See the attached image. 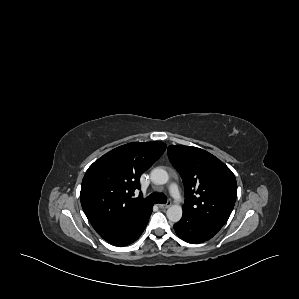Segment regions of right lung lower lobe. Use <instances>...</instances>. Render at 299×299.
Returning <instances> with one entry per match:
<instances>
[{
	"mask_svg": "<svg viewBox=\"0 0 299 299\" xmlns=\"http://www.w3.org/2000/svg\"><path fill=\"white\" fill-rule=\"evenodd\" d=\"M151 211L144 216V218L136 223L120 226L116 228H111L98 234L109 243H112L117 246H126L133 243L135 240L139 238V236L144 231L148 219L150 218Z\"/></svg>",
	"mask_w": 299,
	"mask_h": 299,
	"instance_id": "98d812e1",
	"label": "right lung lower lobe"
}]
</instances>
